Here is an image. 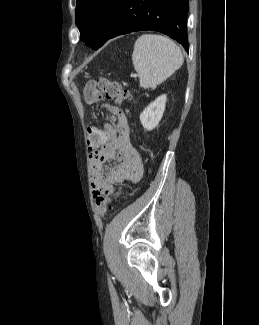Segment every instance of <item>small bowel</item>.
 Here are the masks:
<instances>
[{"label":"small bowel","instance_id":"c3829d8e","mask_svg":"<svg viewBox=\"0 0 259 325\" xmlns=\"http://www.w3.org/2000/svg\"><path fill=\"white\" fill-rule=\"evenodd\" d=\"M107 110L113 123L106 124L105 130H97L101 136L99 148L90 149L91 185L95 198L112 194L117 183L137 182L143 174L142 158L131 142L125 113L114 105H109ZM113 159H117V164L106 168L105 163Z\"/></svg>","mask_w":259,"mask_h":325}]
</instances>
